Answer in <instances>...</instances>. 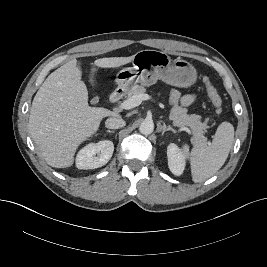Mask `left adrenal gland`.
I'll return each mask as SVG.
<instances>
[{
  "mask_svg": "<svg viewBox=\"0 0 267 267\" xmlns=\"http://www.w3.org/2000/svg\"><path fill=\"white\" fill-rule=\"evenodd\" d=\"M160 129L162 130V136L164 135V133L166 131H172L173 133L176 132L171 126H166L165 124H163L162 126H160Z\"/></svg>",
  "mask_w": 267,
  "mask_h": 267,
  "instance_id": "left-adrenal-gland-1",
  "label": "left adrenal gland"
}]
</instances>
